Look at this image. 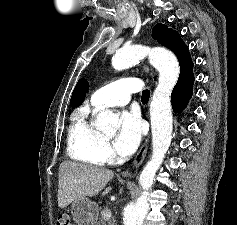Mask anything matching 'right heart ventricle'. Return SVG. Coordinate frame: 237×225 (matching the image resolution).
Masks as SVG:
<instances>
[{"instance_id":"e07e8e85","label":"right heart ventricle","mask_w":237,"mask_h":225,"mask_svg":"<svg viewBox=\"0 0 237 225\" xmlns=\"http://www.w3.org/2000/svg\"><path fill=\"white\" fill-rule=\"evenodd\" d=\"M89 113L90 109L86 107L75 113L69 130L68 152L75 160L102 165L104 160L99 146L103 136L90 122Z\"/></svg>"}]
</instances>
